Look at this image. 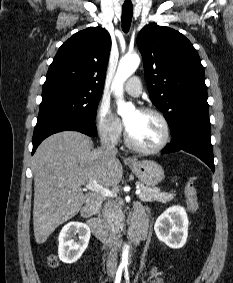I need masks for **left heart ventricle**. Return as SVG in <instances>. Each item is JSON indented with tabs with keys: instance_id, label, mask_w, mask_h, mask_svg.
Here are the masks:
<instances>
[{
	"instance_id": "b2bd125f",
	"label": "left heart ventricle",
	"mask_w": 233,
	"mask_h": 283,
	"mask_svg": "<svg viewBox=\"0 0 233 283\" xmlns=\"http://www.w3.org/2000/svg\"><path fill=\"white\" fill-rule=\"evenodd\" d=\"M125 123L133 140L141 146L154 147L163 139L164 128L155 115L134 110L125 117Z\"/></svg>"
}]
</instances>
